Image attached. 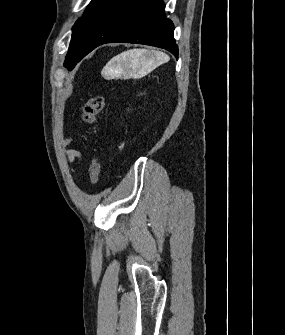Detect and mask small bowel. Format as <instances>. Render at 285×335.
I'll return each instance as SVG.
<instances>
[{
  "label": "small bowel",
  "instance_id": "small-bowel-1",
  "mask_svg": "<svg viewBox=\"0 0 285 335\" xmlns=\"http://www.w3.org/2000/svg\"><path fill=\"white\" fill-rule=\"evenodd\" d=\"M68 155H69V158L71 160H75L76 158L79 157V152L75 151V150H69L68 151Z\"/></svg>",
  "mask_w": 285,
  "mask_h": 335
}]
</instances>
